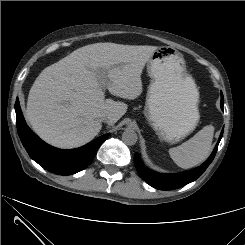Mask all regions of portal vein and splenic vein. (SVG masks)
<instances>
[{
  "mask_svg": "<svg viewBox=\"0 0 245 245\" xmlns=\"http://www.w3.org/2000/svg\"><path fill=\"white\" fill-rule=\"evenodd\" d=\"M102 83H103V84L105 83L104 72H103V74H102Z\"/></svg>",
  "mask_w": 245,
  "mask_h": 245,
  "instance_id": "obj_1",
  "label": "portal vein and splenic vein"
}]
</instances>
